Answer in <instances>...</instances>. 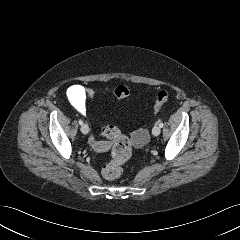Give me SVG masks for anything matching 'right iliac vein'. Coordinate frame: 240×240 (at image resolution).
<instances>
[{
  "label": "right iliac vein",
  "instance_id": "right-iliac-vein-1",
  "mask_svg": "<svg viewBox=\"0 0 240 240\" xmlns=\"http://www.w3.org/2000/svg\"><path fill=\"white\" fill-rule=\"evenodd\" d=\"M81 132H82L83 134H87V133L89 132V127H88L86 124H83V125L81 126Z\"/></svg>",
  "mask_w": 240,
  "mask_h": 240
}]
</instances>
